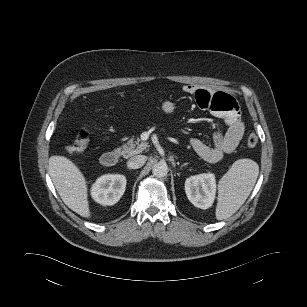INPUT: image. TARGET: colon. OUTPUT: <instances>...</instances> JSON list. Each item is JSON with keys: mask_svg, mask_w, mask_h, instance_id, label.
Instances as JSON below:
<instances>
[{"mask_svg": "<svg viewBox=\"0 0 307 307\" xmlns=\"http://www.w3.org/2000/svg\"><path fill=\"white\" fill-rule=\"evenodd\" d=\"M89 135L86 131L81 130L77 133L71 143L67 146L66 150L70 154L81 153L87 146ZM258 144V137L255 133H250L246 138V145L248 148H254Z\"/></svg>", "mask_w": 307, "mask_h": 307, "instance_id": "5ec220e1", "label": "colon"}]
</instances>
